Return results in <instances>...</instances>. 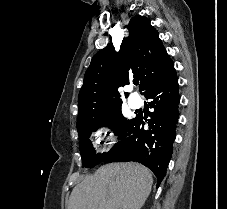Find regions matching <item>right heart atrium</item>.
Here are the masks:
<instances>
[{
    "instance_id": "d8ad5b80",
    "label": "right heart atrium",
    "mask_w": 227,
    "mask_h": 209,
    "mask_svg": "<svg viewBox=\"0 0 227 209\" xmlns=\"http://www.w3.org/2000/svg\"><path fill=\"white\" fill-rule=\"evenodd\" d=\"M94 137L96 140H100L102 138L101 132L100 131L95 132Z\"/></svg>"
}]
</instances>
